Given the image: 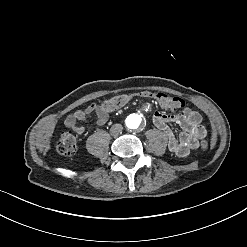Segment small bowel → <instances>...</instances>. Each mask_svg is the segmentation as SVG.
<instances>
[{
    "mask_svg": "<svg viewBox=\"0 0 247 247\" xmlns=\"http://www.w3.org/2000/svg\"><path fill=\"white\" fill-rule=\"evenodd\" d=\"M155 112L152 116V122L161 130L168 141L169 150L179 158H186L193 150L199 147L200 140L206 135L204 127L201 125V115L190 108L183 109L179 113H169L168 110ZM109 110L105 105L90 104L84 109H79L69 114L65 119V126L78 135L87 132L86 127L79 125L92 115L96 116V124L103 125L108 121ZM170 124H176L182 132L176 136L170 128Z\"/></svg>",
    "mask_w": 247,
    "mask_h": 247,
    "instance_id": "small-bowel-1",
    "label": "small bowel"
}]
</instances>
